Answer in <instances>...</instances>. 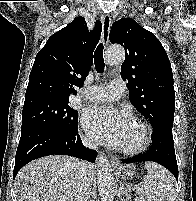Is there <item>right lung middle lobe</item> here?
Instances as JSON below:
<instances>
[{
    "label": "right lung middle lobe",
    "mask_w": 196,
    "mask_h": 201,
    "mask_svg": "<svg viewBox=\"0 0 196 201\" xmlns=\"http://www.w3.org/2000/svg\"><path fill=\"white\" fill-rule=\"evenodd\" d=\"M78 112L69 106L68 99L35 97L25 99L21 131L46 127L65 132L77 128Z\"/></svg>",
    "instance_id": "obj_1"
}]
</instances>
